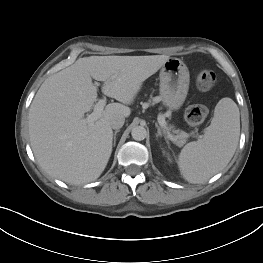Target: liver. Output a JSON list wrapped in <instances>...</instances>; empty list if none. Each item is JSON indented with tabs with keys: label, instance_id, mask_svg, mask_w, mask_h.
Instances as JSON below:
<instances>
[{
	"label": "liver",
	"instance_id": "liver-1",
	"mask_svg": "<svg viewBox=\"0 0 263 263\" xmlns=\"http://www.w3.org/2000/svg\"><path fill=\"white\" fill-rule=\"evenodd\" d=\"M168 59L167 55L83 57L47 78L28 117L30 143L39 166L74 185L99 178L112 153L111 118L131 114L128 104ZM92 78L103 81L102 92L121 103L108 104L89 125L83 117L98 96Z\"/></svg>",
	"mask_w": 263,
	"mask_h": 263
}]
</instances>
